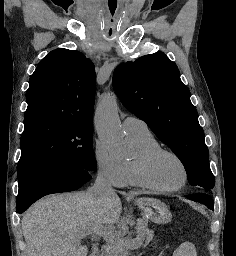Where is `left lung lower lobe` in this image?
Here are the masks:
<instances>
[{"instance_id": "obj_1", "label": "left lung lower lobe", "mask_w": 236, "mask_h": 256, "mask_svg": "<svg viewBox=\"0 0 236 256\" xmlns=\"http://www.w3.org/2000/svg\"><path fill=\"white\" fill-rule=\"evenodd\" d=\"M188 199L197 201L200 203L205 204L209 209L214 210V202L212 198L206 194H193V195H188L186 196Z\"/></svg>"}]
</instances>
